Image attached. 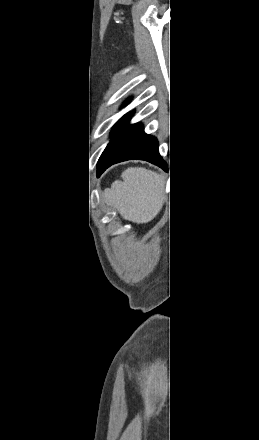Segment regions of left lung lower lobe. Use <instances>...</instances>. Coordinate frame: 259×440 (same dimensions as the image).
Wrapping results in <instances>:
<instances>
[{
    "mask_svg": "<svg viewBox=\"0 0 259 440\" xmlns=\"http://www.w3.org/2000/svg\"><path fill=\"white\" fill-rule=\"evenodd\" d=\"M132 114L123 119L102 153L98 161V175L112 164L131 159L146 160L167 170L159 154L156 138L145 134L140 123L127 125Z\"/></svg>",
    "mask_w": 259,
    "mask_h": 440,
    "instance_id": "1",
    "label": "left lung lower lobe"
}]
</instances>
